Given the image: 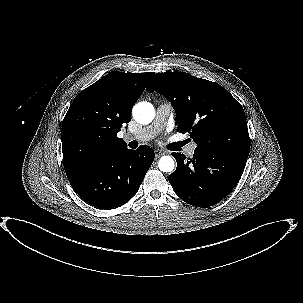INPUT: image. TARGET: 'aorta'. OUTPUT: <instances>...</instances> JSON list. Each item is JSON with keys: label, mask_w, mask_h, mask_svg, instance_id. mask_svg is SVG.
<instances>
[{"label": "aorta", "mask_w": 303, "mask_h": 303, "mask_svg": "<svg viewBox=\"0 0 303 303\" xmlns=\"http://www.w3.org/2000/svg\"><path fill=\"white\" fill-rule=\"evenodd\" d=\"M134 119L140 124H149L155 116V110L151 103H137L132 110ZM174 160L171 156H162L158 162V167L162 172H171L174 169Z\"/></svg>", "instance_id": "762f6f07"}]
</instances>
